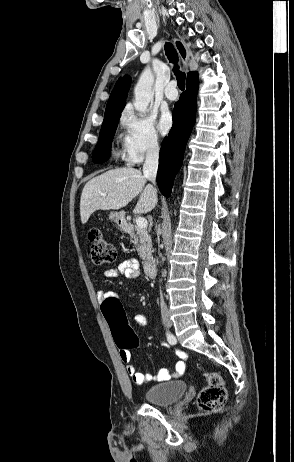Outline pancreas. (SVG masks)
Here are the masks:
<instances>
[{"label":"pancreas","mask_w":294,"mask_h":462,"mask_svg":"<svg viewBox=\"0 0 294 462\" xmlns=\"http://www.w3.org/2000/svg\"><path fill=\"white\" fill-rule=\"evenodd\" d=\"M130 235L133 244L136 245L140 259L143 261L150 260L152 252V239L148 231L135 226L133 227Z\"/></svg>","instance_id":"pancreas-1"}]
</instances>
